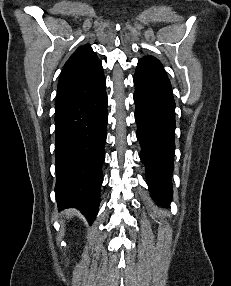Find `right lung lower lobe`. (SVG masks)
I'll list each match as a JSON object with an SVG mask.
<instances>
[{
  "label": "right lung lower lobe",
  "instance_id": "1",
  "mask_svg": "<svg viewBox=\"0 0 231 286\" xmlns=\"http://www.w3.org/2000/svg\"><path fill=\"white\" fill-rule=\"evenodd\" d=\"M55 106L57 203L60 209H79L92 224L100 203L108 120L103 69L59 83Z\"/></svg>",
  "mask_w": 231,
  "mask_h": 286
}]
</instances>
